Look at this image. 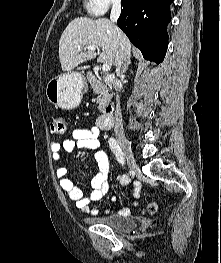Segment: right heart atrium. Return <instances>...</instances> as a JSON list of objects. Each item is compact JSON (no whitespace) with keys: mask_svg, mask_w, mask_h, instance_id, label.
Returning <instances> with one entry per match:
<instances>
[{"mask_svg":"<svg viewBox=\"0 0 221 263\" xmlns=\"http://www.w3.org/2000/svg\"><path fill=\"white\" fill-rule=\"evenodd\" d=\"M121 0H87V10L95 16L104 14L111 6L118 5Z\"/></svg>","mask_w":221,"mask_h":263,"instance_id":"d8ad5b80","label":"right heart atrium"}]
</instances>
